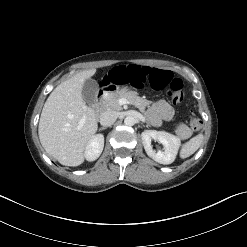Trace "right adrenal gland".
<instances>
[{
	"label": "right adrenal gland",
	"instance_id": "2a0ac1e0",
	"mask_svg": "<svg viewBox=\"0 0 247 247\" xmlns=\"http://www.w3.org/2000/svg\"><path fill=\"white\" fill-rule=\"evenodd\" d=\"M104 129H106V127H101L99 130H104Z\"/></svg>",
	"mask_w": 247,
	"mask_h": 247
}]
</instances>
